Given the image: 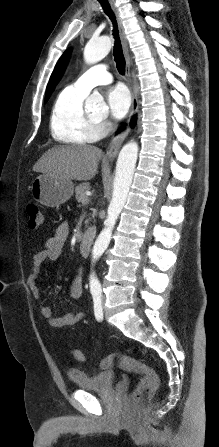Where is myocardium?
<instances>
[{
	"mask_svg": "<svg viewBox=\"0 0 219 447\" xmlns=\"http://www.w3.org/2000/svg\"><path fill=\"white\" fill-rule=\"evenodd\" d=\"M91 122H93V123H95V121L94 120H90Z\"/></svg>",
	"mask_w": 219,
	"mask_h": 447,
	"instance_id": "obj_1",
	"label": "myocardium"
}]
</instances>
